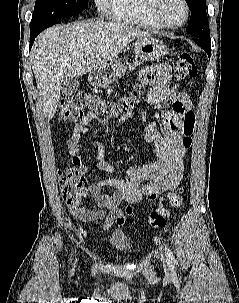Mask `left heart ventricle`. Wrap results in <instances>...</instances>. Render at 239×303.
Wrapping results in <instances>:
<instances>
[{
  "instance_id": "1",
  "label": "left heart ventricle",
  "mask_w": 239,
  "mask_h": 303,
  "mask_svg": "<svg viewBox=\"0 0 239 303\" xmlns=\"http://www.w3.org/2000/svg\"><path fill=\"white\" fill-rule=\"evenodd\" d=\"M159 13L165 22L178 24L185 16L184 5L181 0H161Z\"/></svg>"
}]
</instances>
